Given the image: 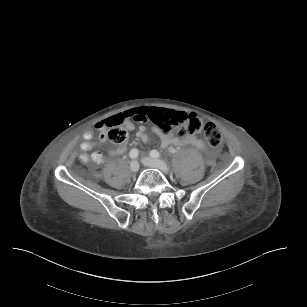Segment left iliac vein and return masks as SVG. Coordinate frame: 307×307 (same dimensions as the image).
Returning <instances> with one entry per match:
<instances>
[{
	"label": "left iliac vein",
	"mask_w": 307,
	"mask_h": 307,
	"mask_svg": "<svg viewBox=\"0 0 307 307\" xmlns=\"http://www.w3.org/2000/svg\"><path fill=\"white\" fill-rule=\"evenodd\" d=\"M142 162L145 166H149L151 168H158V169L162 170L163 172L168 171L167 165L161 160L152 159L150 157H144L142 159Z\"/></svg>",
	"instance_id": "obj_1"
}]
</instances>
